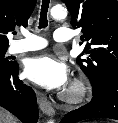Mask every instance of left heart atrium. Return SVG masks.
<instances>
[{
  "label": "left heart atrium",
  "mask_w": 118,
  "mask_h": 123,
  "mask_svg": "<svg viewBox=\"0 0 118 123\" xmlns=\"http://www.w3.org/2000/svg\"><path fill=\"white\" fill-rule=\"evenodd\" d=\"M25 74L34 83L49 89L64 88L68 81L66 66L51 55L28 60Z\"/></svg>",
  "instance_id": "left-heart-atrium-1"
}]
</instances>
